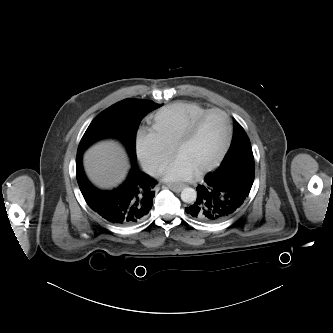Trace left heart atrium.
<instances>
[{"label":"left heart atrium","mask_w":333,"mask_h":333,"mask_svg":"<svg viewBox=\"0 0 333 333\" xmlns=\"http://www.w3.org/2000/svg\"><path fill=\"white\" fill-rule=\"evenodd\" d=\"M195 170L179 155H175L161 170L164 180L180 182L191 179Z\"/></svg>","instance_id":"obj_1"}]
</instances>
